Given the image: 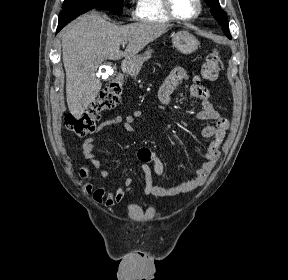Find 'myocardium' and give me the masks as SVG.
Instances as JSON below:
<instances>
[{"label":"myocardium","instance_id":"f54148a6","mask_svg":"<svg viewBox=\"0 0 288 280\" xmlns=\"http://www.w3.org/2000/svg\"><path fill=\"white\" fill-rule=\"evenodd\" d=\"M162 4H163V8L166 12V14L174 21L177 22H182V23H188V22H192L194 20H196L200 14L202 13V9H203V2L202 0H197V11L196 13L189 17V18H181L179 17L172 6V1L171 0H162Z\"/></svg>","mask_w":288,"mask_h":280}]
</instances>
